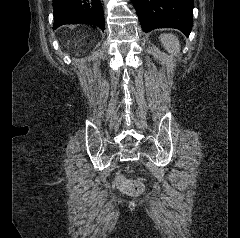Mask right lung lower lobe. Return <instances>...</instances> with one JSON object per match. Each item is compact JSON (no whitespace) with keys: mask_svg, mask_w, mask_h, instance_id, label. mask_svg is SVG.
I'll use <instances>...</instances> for the list:
<instances>
[{"mask_svg":"<svg viewBox=\"0 0 240 238\" xmlns=\"http://www.w3.org/2000/svg\"><path fill=\"white\" fill-rule=\"evenodd\" d=\"M53 29L64 24L89 23L104 31V12L100 0H53Z\"/></svg>","mask_w":240,"mask_h":238,"instance_id":"1","label":"right lung lower lobe"}]
</instances>
